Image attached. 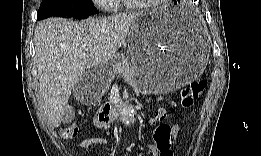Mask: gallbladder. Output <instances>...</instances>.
<instances>
[{
	"label": "gallbladder",
	"instance_id": "obj_1",
	"mask_svg": "<svg viewBox=\"0 0 261 156\" xmlns=\"http://www.w3.org/2000/svg\"><path fill=\"white\" fill-rule=\"evenodd\" d=\"M64 106H66L67 108H65V111H64V116H63V123H69L72 121L73 117H74V112L73 110L71 109H68V108H72L73 106L72 105H68V104H65Z\"/></svg>",
	"mask_w": 261,
	"mask_h": 156
}]
</instances>
